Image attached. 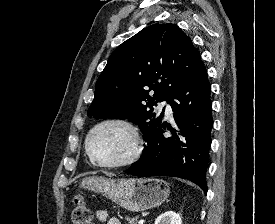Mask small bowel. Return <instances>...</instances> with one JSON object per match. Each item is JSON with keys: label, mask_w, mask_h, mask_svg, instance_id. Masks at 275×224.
Wrapping results in <instances>:
<instances>
[{"label": "small bowel", "mask_w": 275, "mask_h": 224, "mask_svg": "<svg viewBox=\"0 0 275 224\" xmlns=\"http://www.w3.org/2000/svg\"><path fill=\"white\" fill-rule=\"evenodd\" d=\"M97 219L103 224H121V221L116 217H111L107 211L101 210L97 212Z\"/></svg>", "instance_id": "1"}]
</instances>
